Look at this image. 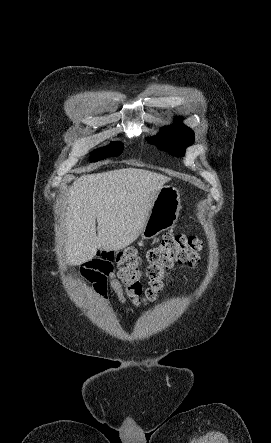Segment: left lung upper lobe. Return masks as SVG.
I'll list each match as a JSON object with an SVG mask.
<instances>
[{
    "instance_id": "1",
    "label": "left lung upper lobe",
    "mask_w": 271,
    "mask_h": 443,
    "mask_svg": "<svg viewBox=\"0 0 271 443\" xmlns=\"http://www.w3.org/2000/svg\"><path fill=\"white\" fill-rule=\"evenodd\" d=\"M182 119V117H178L173 125L161 129L160 136L147 140L172 155L184 156L185 148L194 142V132L181 123Z\"/></svg>"
}]
</instances>
